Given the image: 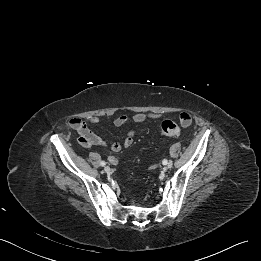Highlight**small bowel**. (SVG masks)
<instances>
[{"label": "small bowel", "instance_id": "obj_1", "mask_svg": "<svg viewBox=\"0 0 261 261\" xmlns=\"http://www.w3.org/2000/svg\"><path fill=\"white\" fill-rule=\"evenodd\" d=\"M164 115L159 112L155 113H135L133 116L129 117L127 115H119L117 116L113 123L115 126L120 127L123 126L130 121H133L135 123H144L148 120H159L163 117ZM186 118L189 121L187 123L183 122L182 119ZM179 120L181 121V125L183 127H187L191 124L192 122V116L188 112H181L179 114ZM100 118L96 116L88 117L86 120H82L80 118H71L69 121V126L75 130L79 136V143L84 146V147H90V146H105L106 143L105 141L93 133L89 128L88 124H97L100 123ZM133 137H134V130H130L127 133L126 138L124 139L123 146L125 148H128L132 145L133 143ZM111 149L114 152H119L122 149V145L118 142H114L111 145Z\"/></svg>", "mask_w": 261, "mask_h": 261}]
</instances>
